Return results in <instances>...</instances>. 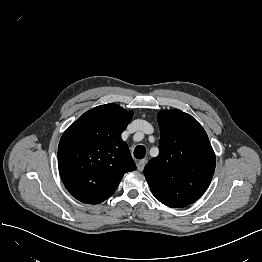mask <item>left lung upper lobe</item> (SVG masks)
<instances>
[{
	"instance_id": "obj_1",
	"label": "left lung upper lobe",
	"mask_w": 262,
	"mask_h": 262,
	"mask_svg": "<svg viewBox=\"0 0 262 262\" xmlns=\"http://www.w3.org/2000/svg\"><path fill=\"white\" fill-rule=\"evenodd\" d=\"M159 155L144 168L153 195L164 205L181 208L208 188L215 170V154L203 127L181 110L158 114Z\"/></svg>"
}]
</instances>
